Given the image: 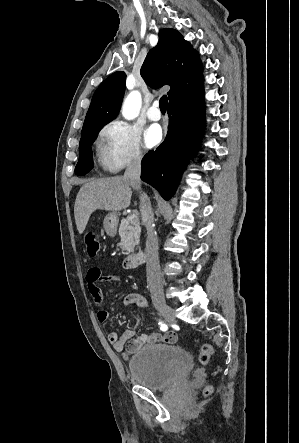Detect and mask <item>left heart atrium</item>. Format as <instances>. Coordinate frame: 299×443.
Masks as SVG:
<instances>
[{
  "label": "left heart atrium",
  "instance_id": "1",
  "mask_svg": "<svg viewBox=\"0 0 299 443\" xmlns=\"http://www.w3.org/2000/svg\"><path fill=\"white\" fill-rule=\"evenodd\" d=\"M162 138V131L158 125H150L144 134V142L147 148L157 145Z\"/></svg>",
  "mask_w": 299,
  "mask_h": 443
}]
</instances>
